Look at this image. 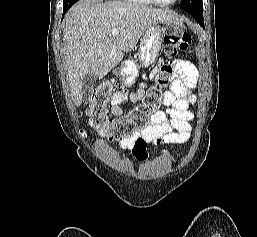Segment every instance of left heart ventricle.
<instances>
[{
    "mask_svg": "<svg viewBox=\"0 0 257 237\" xmlns=\"http://www.w3.org/2000/svg\"><path fill=\"white\" fill-rule=\"evenodd\" d=\"M161 1H164V2H170V1H172V0H161Z\"/></svg>",
    "mask_w": 257,
    "mask_h": 237,
    "instance_id": "b2bd125f",
    "label": "left heart ventricle"
}]
</instances>
